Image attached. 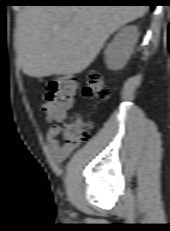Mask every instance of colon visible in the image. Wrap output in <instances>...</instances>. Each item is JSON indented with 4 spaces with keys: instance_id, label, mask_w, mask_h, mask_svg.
Instances as JSON below:
<instances>
[{
    "instance_id": "obj_1",
    "label": "colon",
    "mask_w": 170,
    "mask_h": 231,
    "mask_svg": "<svg viewBox=\"0 0 170 231\" xmlns=\"http://www.w3.org/2000/svg\"><path fill=\"white\" fill-rule=\"evenodd\" d=\"M76 94V82L71 76H57L48 85L42 109L48 121L62 122L67 112L73 108ZM110 90L102 75L97 71H90L83 88V96L88 100H105ZM92 122L75 119L62 127L64 144L74 149L90 137Z\"/></svg>"
}]
</instances>
